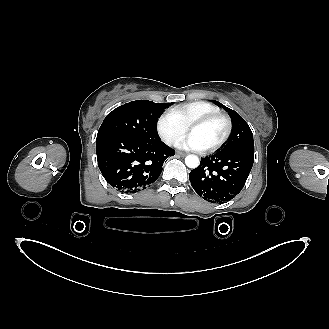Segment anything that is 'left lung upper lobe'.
<instances>
[{
    "label": "left lung upper lobe",
    "mask_w": 329,
    "mask_h": 329,
    "mask_svg": "<svg viewBox=\"0 0 329 329\" xmlns=\"http://www.w3.org/2000/svg\"><path fill=\"white\" fill-rule=\"evenodd\" d=\"M218 106L224 108L232 120V133L227 144L220 152L229 151H248L254 152L253 134L249 125L234 110L222 105L218 101H214Z\"/></svg>",
    "instance_id": "left-lung-upper-lobe-1"
}]
</instances>
